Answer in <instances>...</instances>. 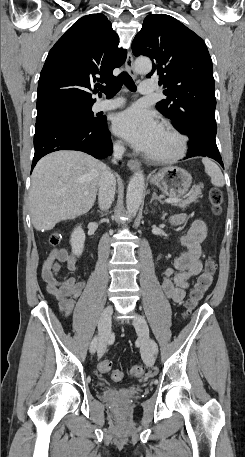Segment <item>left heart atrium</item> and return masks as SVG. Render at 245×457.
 <instances>
[{
  "label": "left heart atrium",
  "mask_w": 245,
  "mask_h": 457,
  "mask_svg": "<svg viewBox=\"0 0 245 457\" xmlns=\"http://www.w3.org/2000/svg\"><path fill=\"white\" fill-rule=\"evenodd\" d=\"M113 130L140 151L149 150L162 131L157 117L142 107L120 113L114 121Z\"/></svg>",
  "instance_id": "1"
}]
</instances>
